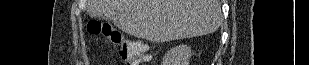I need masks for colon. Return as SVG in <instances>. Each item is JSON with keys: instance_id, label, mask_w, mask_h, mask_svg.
<instances>
[{"instance_id": "colon-1", "label": "colon", "mask_w": 309, "mask_h": 65, "mask_svg": "<svg viewBox=\"0 0 309 65\" xmlns=\"http://www.w3.org/2000/svg\"><path fill=\"white\" fill-rule=\"evenodd\" d=\"M88 31L93 35H102L110 39L123 64L136 65L145 60L146 50L141 41L124 39L118 32L111 33L105 24L97 20L89 22Z\"/></svg>"}]
</instances>
